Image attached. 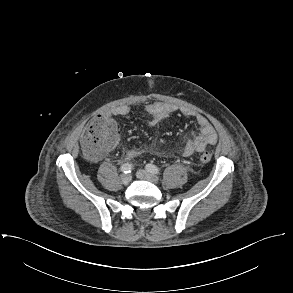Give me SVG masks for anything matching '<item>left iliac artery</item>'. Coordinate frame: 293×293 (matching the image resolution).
<instances>
[{
    "label": "left iliac artery",
    "mask_w": 293,
    "mask_h": 293,
    "mask_svg": "<svg viewBox=\"0 0 293 293\" xmlns=\"http://www.w3.org/2000/svg\"><path fill=\"white\" fill-rule=\"evenodd\" d=\"M146 170L149 171L150 173H153V174H159L160 173V169L153 165V164H147L146 165Z\"/></svg>",
    "instance_id": "left-iliac-artery-1"
}]
</instances>
